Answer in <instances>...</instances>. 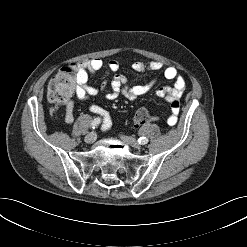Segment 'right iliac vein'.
Listing matches in <instances>:
<instances>
[{"instance_id": "right-iliac-vein-1", "label": "right iliac vein", "mask_w": 247, "mask_h": 247, "mask_svg": "<svg viewBox=\"0 0 247 247\" xmlns=\"http://www.w3.org/2000/svg\"><path fill=\"white\" fill-rule=\"evenodd\" d=\"M95 140H96V133L95 132H91L85 136V142L88 144L95 142Z\"/></svg>"}]
</instances>
